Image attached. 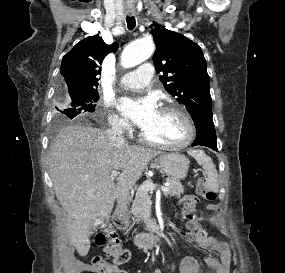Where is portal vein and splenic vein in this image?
I'll return each mask as SVG.
<instances>
[{
  "instance_id": "18ae733b",
  "label": "portal vein and splenic vein",
  "mask_w": 285,
  "mask_h": 273,
  "mask_svg": "<svg viewBox=\"0 0 285 273\" xmlns=\"http://www.w3.org/2000/svg\"><path fill=\"white\" fill-rule=\"evenodd\" d=\"M118 174H119V172L117 170L111 171V177L112 178L117 177ZM156 187H157L156 184L150 182V183H145L142 186H140V189L145 190V191H153L154 189H156ZM161 190L163 192H167V191H169V188H168V186H161Z\"/></svg>"
}]
</instances>
